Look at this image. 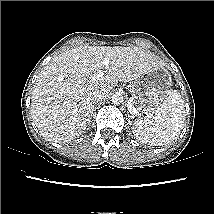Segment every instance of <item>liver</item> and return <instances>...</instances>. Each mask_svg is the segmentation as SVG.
I'll use <instances>...</instances> for the list:
<instances>
[{
    "mask_svg": "<svg viewBox=\"0 0 214 214\" xmlns=\"http://www.w3.org/2000/svg\"><path fill=\"white\" fill-rule=\"evenodd\" d=\"M110 66L97 80L92 76ZM164 65L139 47L80 46L62 52L37 77L31 97V115L46 139L61 143L80 136L91 120V94L112 90L118 82L138 79L154 67Z\"/></svg>",
    "mask_w": 214,
    "mask_h": 214,
    "instance_id": "6515ba94",
    "label": "liver"
}]
</instances>
